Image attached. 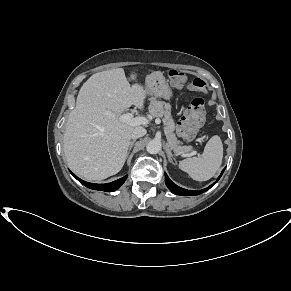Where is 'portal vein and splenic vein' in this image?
I'll use <instances>...</instances> for the list:
<instances>
[{
	"mask_svg": "<svg viewBox=\"0 0 291 291\" xmlns=\"http://www.w3.org/2000/svg\"><path fill=\"white\" fill-rule=\"evenodd\" d=\"M106 115H112V113L110 111H106L105 112ZM120 120L122 122H125V123H128V124H131V125H146L148 124V119L145 118V117H133V114H130V113H126V114H122L120 115ZM156 123L157 124H160L161 123V120L160 119H156ZM164 132L165 134L167 135V127L165 126L164 127ZM197 154L196 151H193L191 152L190 154H187V155H184V156H193Z\"/></svg>",
	"mask_w": 291,
	"mask_h": 291,
	"instance_id": "1",
	"label": "portal vein and splenic vein"
}]
</instances>
